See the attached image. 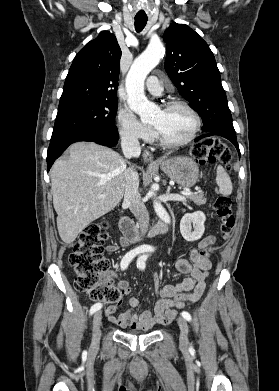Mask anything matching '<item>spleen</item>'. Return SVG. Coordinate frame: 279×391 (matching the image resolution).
Listing matches in <instances>:
<instances>
[{
  "instance_id": "3e777b00",
  "label": "spleen",
  "mask_w": 279,
  "mask_h": 391,
  "mask_svg": "<svg viewBox=\"0 0 279 391\" xmlns=\"http://www.w3.org/2000/svg\"><path fill=\"white\" fill-rule=\"evenodd\" d=\"M216 183L219 187V192L222 195L227 196L232 193L231 179L227 174V172L225 171V169L220 165L217 167V171H216Z\"/></svg>"
}]
</instances>
